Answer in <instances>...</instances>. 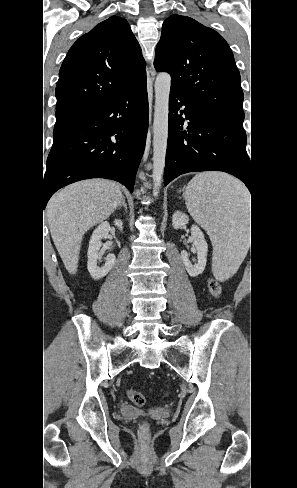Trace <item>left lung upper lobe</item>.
Wrapping results in <instances>:
<instances>
[{"label": "left lung upper lobe", "mask_w": 297, "mask_h": 488, "mask_svg": "<svg viewBox=\"0 0 297 488\" xmlns=\"http://www.w3.org/2000/svg\"><path fill=\"white\" fill-rule=\"evenodd\" d=\"M154 67L171 75V91L200 110L242 127L240 74L219 33L190 17L171 15L162 26Z\"/></svg>", "instance_id": "5c2ea615"}]
</instances>
